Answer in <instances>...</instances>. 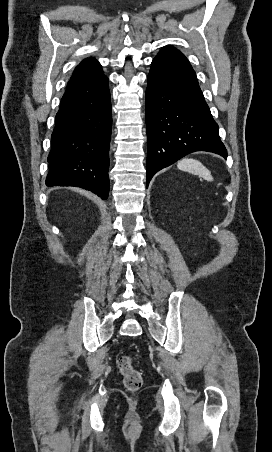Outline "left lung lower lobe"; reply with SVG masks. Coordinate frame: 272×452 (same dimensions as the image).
I'll list each match as a JSON object with an SVG mask.
<instances>
[{
  "instance_id": "obj_1",
  "label": "left lung lower lobe",
  "mask_w": 272,
  "mask_h": 452,
  "mask_svg": "<svg viewBox=\"0 0 272 452\" xmlns=\"http://www.w3.org/2000/svg\"><path fill=\"white\" fill-rule=\"evenodd\" d=\"M147 180L195 151L227 158L196 73L176 48L165 46L153 59L147 78Z\"/></svg>"
}]
</instances>
